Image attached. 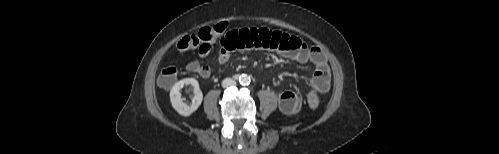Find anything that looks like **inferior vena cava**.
I'll list each match as a JSON object with an SVG mask.
<instances>
[{
	"label": "inferior vena cava",
	"mask_w": 499,
	"mask_h": 154,
	"mask_svg": "<svg viewBox=\"0 0 499 154\" xmlns=\"http://www.w3.org/2000/svg\"><path fill=\"white\" fill-rule=\"evenodd\" d=\"M235 84H236L235 80H233V79H231V78H226V79H224V80L222 81V86H223L224 88L229 87V86H233V85H235Z\"/></svg>",
	"instance_id": "602c4592"
}]
</instances>
